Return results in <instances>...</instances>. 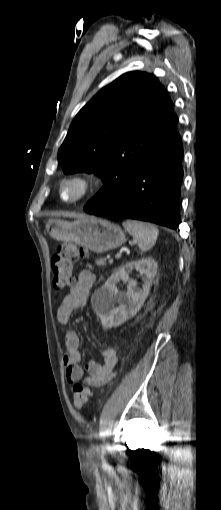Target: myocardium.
<instances>
[{"label": "myocardium", "instance_id": "1", "mask_svg": "<svg viewBox=\"0 0 221 510\" xmlns=\"http://www.w3.org/2000/svg\"><path fill=\"white\" fill-rule=\"evenodd\" d=\"M70 185H76L79 191L73 198H65L64 191ZM99 185V177L93 171H75L67 175L60 183L59 197L67 204H77L89 198Z\"/></svg>", "mask_w": 221, "mask_h": 510}]
</instances>
